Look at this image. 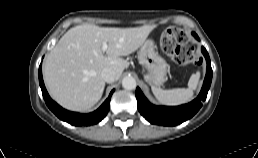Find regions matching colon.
I'll return each mask as SVG.
<instances>
[{"label": "colon", "mask_w": 258, "mask_h": 158, "mask_svg": "<svg viewBox=\"0 0 258 158\" xmlns=\"http://www.w3.org/2000/svg\"><path fill=\"white\" fill-rule=\"evenodd\" d=\"M189 36L182 27H171L164 31L160 39L161 50L175 63L197 65L199 59L189 44Z\"/></svg>", "instance_id": "5ec220e1"}]
</instances>
